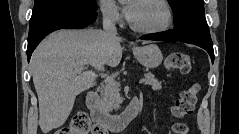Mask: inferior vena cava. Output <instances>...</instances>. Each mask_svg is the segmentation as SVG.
<instances>
[{"mask_svg": "<svg viewBox=\"0 0 239 134\" xmlns=\"http://www.w3.org/2000/svg\"><path fill=\"white\" fill-rule=\"evenodd\" d=\"M103 30L107 35L114 36L117 34V28L114 23L113 15L106 11L103 14Z\"/></svg>", "mask_w": 239, "mask_h": 134, "instance_id": "1", "label": "inferior vena cava"}]
</instances>
